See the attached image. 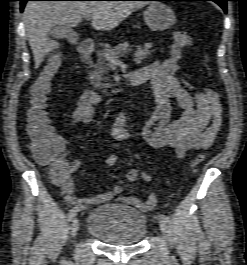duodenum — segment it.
Listing matches in <instances>:
<instances>
[{"label":"duodenum","mask_w":247,"mask_h":265,"mask_svg":"<svg viewBox=\"0 0 247 265\" xmlns=\"http://www.w3.org/2000/svg\"><path fill=\"white\" fill-rule=\"evenodd\" d=\"M94 52V43L90 39L83 40L78 48L79 62L83 68L86 67L92 53ZM127 80L131 85L137 86L145 82V80L137 79L134 76V72H130L127 75Z\"/></svg>","instance_id":"duodenum-1"}]
</instances>
